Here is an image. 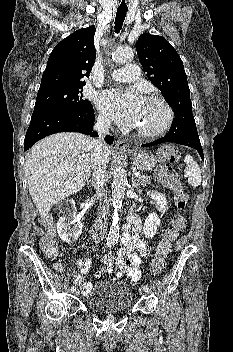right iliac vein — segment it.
I'll return each mask as SVG.
<instances>
[{
  "label": "right iliac vein",
  "mask_w": 233,
  "mask_h": 352,
  "mask_svg": "<svg viewBox=\"0 0 233 352\" xmlns=\"http://www.w3.org/2000/svg\"><path fill=\"white\" fill-rule=\"evenodd\" d=\"M74 293H75V294H78V291H77V290H75V291H74Z\"/></svg>",
  "instance_id": "right-iliac-vein-1"
}]
</instances>
